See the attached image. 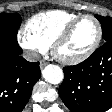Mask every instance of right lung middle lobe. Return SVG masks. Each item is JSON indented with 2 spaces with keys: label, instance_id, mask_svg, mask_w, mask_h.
<instances>
[{
  "label": "right lung middle lobe",
  "instance_id": "dd1d6c3e",
  "mask_svg": "<svg viewBox=\"0 0 112 112\" xmlns=\"http://www.w3.org/2000/svg\"><path fill=\"white\" fill-rule=\"evenodd\" d=\"M21 25L19 14L1 13L0 14V43L18 45L17 31Z\"/></svg>",
  "mask_w": 112,
  "mask_h": 112
}]
</instances>
